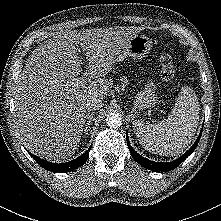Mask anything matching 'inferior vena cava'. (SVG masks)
<instances>
[{
    "instance_id": "obj_1",
    "label": "inferior vena cava",
    "mask_w": 221,
    "mask_h": 221,
    "mask_svg": "<svg viewBox=\"0 0 221 221\" xmlns=\"http://www.w3.org/2000/svg\"><path fill=\"white\" fill-rule=\"evenodd\" d=\"M103 102L100 99H90L86 103V110L91 112L94 110H98L103 107Z\"/></svg>"
}]
</instances>
